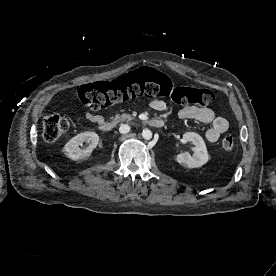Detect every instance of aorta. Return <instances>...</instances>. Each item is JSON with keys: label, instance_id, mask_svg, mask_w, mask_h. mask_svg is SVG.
Here are the masks:
<instances>
[{"label": "aorta", "instance_id": "aorta-1", "mask_svg": "<svg viewBox=\"0 0 276 276\" xmlns=\"http://www.w3.org/2000/svg\"><path fill=\"white\" fill-rule=\"evenodd\" d=\"M142 137L145 139V140H150L152 138V132L149 130V129H145L143 130L142 132Z\"/></svg>", "mask_w": 276, "mask_h": 276}]
</instances>
